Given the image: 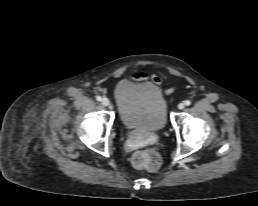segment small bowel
<instances>
[{
    "label": "small bowel",
    "instance_id": "c3829d8e",
    "mask_svg": "<svg viewBox=\"0 0 258 206\" xmlns=\"http://www.w3.org/2000/svg\"><path fill=\"white\" fill-rule=\"evenodd\" d=\"M131 80L133 81H149L156 85H161L163 80L167 79L166 75L148 74L146 72H136L131 75ZM174 88H169L165 90V94H170Z\"/></svg>",
    "mask_w": 258,
    "mask_h": 206
}]
</instances>
